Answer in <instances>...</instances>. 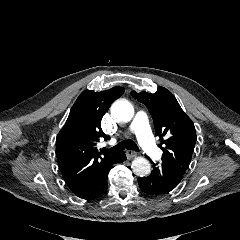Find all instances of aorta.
Listing matches in <instances>:
<instances>
[{
    "label": "aorta",
    "instance_id": "1",
    "mask_svg": "<svg viewBox=\"0 0 240 240\" xmlns=\"http://www.w3.org/2000/svg\"><path fill=\"white\" fill-rule=\"evenodd\" d=\"M112 116L120 122H129L134 116L132 104L126 100H117L111 106ZM132 171L140 177L148 176L151 172L150 162L144 157H137L132 161Z\"/></svg>",
    "mask_w": 240,
    "mask_h": 240
}]
</instances>
